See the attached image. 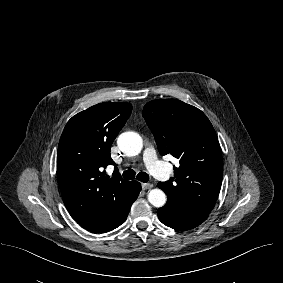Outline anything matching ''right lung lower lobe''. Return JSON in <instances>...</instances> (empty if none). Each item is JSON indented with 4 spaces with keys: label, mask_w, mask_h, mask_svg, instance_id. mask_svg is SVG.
Returning <instances> with one entry per match:
<instances>
[{
    "label": "right lung lower lobe",
    "mask_w": 283,
    "mask_h": 283,
    "mask_svg": "<svg viewBox=\"0 0 283 283\" xmlns=\"http://www.w3.org/2000/svg\"><path fill=\"white\" fill-rule=\"evenodd\" d=\"M134 182H135V190L132 194V197L130 198L128 203L125 205V207L120 211V213L117 215V217L114 218L111 222L104 225L103 227L98 228L96 230H92V232H95V233L108 232L110 230L117 228L119 225H121L126 220L132 203L136 200V198L139 195V192L141 191L140 183H138L136 181H134Z\"/></svg>",
    "instance_id": "1"
}]
</instances>
